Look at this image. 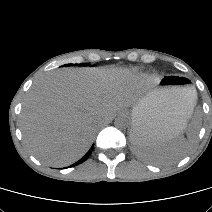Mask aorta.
<instances>
[{
    "label": "aorta",
    "mask_w": 212,
    "mask_h": 212,
    "mask_svg": "<svg viewBox=\"0 0 212 212\" xmlns=\"http://www.w3.org/2000/svg\"><path fill=\"white\" fill-rule=\"evenodd\" d=\"M114 125L119 129H124L128 125V120L123 116H118L114 121Z\"/></svg>",
    "instance_id": "obj_1"
}]
</instances>
